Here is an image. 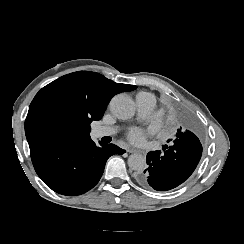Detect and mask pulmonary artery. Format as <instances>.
<instances>
[{
  "instance_id": "e3ab8cb5",
  "label": "pulmonary artery",
  "mask_w": 244,
  "mask_h": 244,
  "mask_svg": "<svg viewBox=\"0 0 244 244\" xmlns=\"http://www.w3.org/2000/svg\"><path fill=\"white\" fill-rule=\"evenodd\" d=\"M136 106L138 116L144 120H151L156 113V98L153 94L148 92H141L136 97ZM119 131L116 126H100L92 131V136L101 138L104 136L114 135Z\"/></svg>"
}]
</instances>
